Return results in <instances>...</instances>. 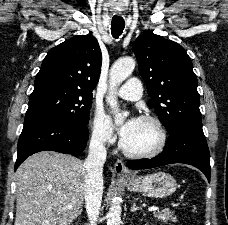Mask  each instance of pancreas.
I'll use <instances>...</instances> for the list:
<instances>
[{
    "label": "pancreas",
    "instance_id": "cf45deb5",
    "mask_svg": "<svg viewBox=\"0 0 228 225\" xmlns=\"http://www.w3.org/2000/svg\"><path fill=\"white\" fill-rule=\"evenodd\" d=\"M154 217H157V219L163 221V223H168V221L176 223L177 219V217H174V211H170V209H163V211H159V213H154Z\"/></svg>",
    "mask_w": 228,
    "mask_h": 225
}]
</instances>
